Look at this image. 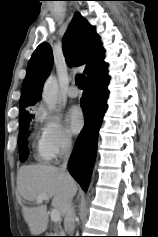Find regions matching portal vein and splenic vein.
<instances>
[{
	"mask_svg": "<svg viewBox=\"0 0 158 237\" xmlns=\"http://www.w3.org/2000/svg\"><path fill=\"white\" fill-rule=\"evenodd\" d=\"M36 200H37V202H43L44 200H49V196L47 194H41V195L37 196ZM50 216H51V220L53 222H59L60 219H61V214L56 209H53L51 211V215Z\"/></svg>",
	"mask_w": 158,
	"mask_h": 237,
	"instance_id": "obj_1",
	"label": "portal vein and splenic vein"
}]
</instances>
